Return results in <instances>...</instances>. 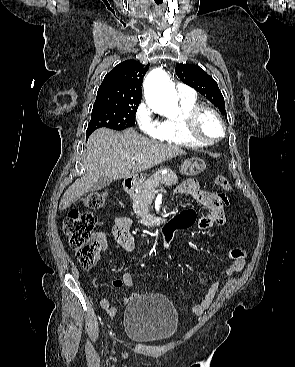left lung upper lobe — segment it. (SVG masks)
<instances>
[{"label":"left lung upper lobe","mask_w":295,"mask_h":367,"mask_svg":"<svg viewBox=\"0 0 295 367\" xmlns=\"http://www.w3.org/2000/svg\"><path fill=\"white\" fill-rule=\"evenodd\" d=\"M175 71L177 76L185 84L205 96L226 116L224 98L218 88L217 82L210 75L194 64H178Z\"/></svg>","instance_id":"left-lung-upper-lobe-1"}]
</instances>
